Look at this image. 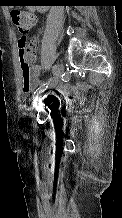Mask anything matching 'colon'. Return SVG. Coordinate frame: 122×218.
I'll list each match as a JSON object with an SVG mask.
<instances>
[{
	"instance_id": "colon-1",
	"label": "colon",
	"mask_w": 122,
	"mask_h": 218,
	"mask_svg": "<svg viewBox=\"0 0 122 218\" xmlns=\"http://www.w3.org/2000/svg\"><path fill=\"white\" fill-rule=\"evenodd\" d=\"M11 18L13 23L22 33H28L35 23V17L33 14L17 9L11 11ZM31 54L32 50L27 38H21L19 41V63L22 89L25 92H29L33 86L31 75Z\"/></svg>"
}]
</instances>
